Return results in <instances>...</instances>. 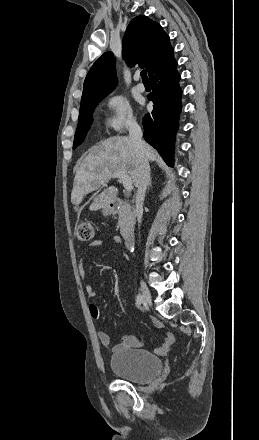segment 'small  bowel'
Returning a JSON list of instances; mask_svg holds the SVG:
<instances>
[{"instance_id": "1", "label": "small bowel", "mask_w": 259, "mask_h": 440, "mask_svg": "<svg viewBox=\"0 0 259 440\" xmlns=\"http://www.w3.org/2000/svg\"><path fill=\"white\" fill-rule=\"evenodd\" d=\"M113 241L115 243H120L121 239H120L119 236L115 235V236H113ZM102 244H103L102 240H99V239L98 240H94V241H92L87 246V248L101 246ZM78 271H79L80 279L84 283L85 292H86L87 296L89 298L95 297L96 296V292L94 291L93 287L87 282L86 273H85V269H84V265H83V260L82 259H80V261H79ZM89 313H90L92 318H94V319L99 318L100 311H99L98 306L96 304H90L89 305ZM152 322H153V324H154V326L156 328H162L163 327L162 323L159 320L155 319V318H152ZM97 337H98V340L103 345L108 346L110 344V336H109V334L100 331V332L97 333ZM173 341H174L173 335L167 334L165 339H164V342H163L162 346L155 350L156 353H158V354H165L168 351V349L170 348V346L172 345ZM140 346H141L140 338L138 336L131 335V336H126L119 345L114 347V350H118V349H122V348H130V347H140Z\"/></svg>"}]
</instances>
